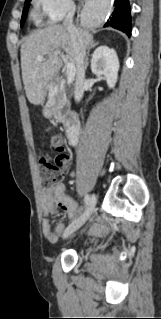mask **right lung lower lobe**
Returning <instances> with one entry per match:
<instances>
[{
    "label": "right lung lower lobe",
    "mask_w": 161,
    "mask_h": 319,
    "mask_svg": "<svg viewBox=\"0 0 161 319\" xmlns=\"http://www.w3.org/2000/svg\"><path fill=\"white\" fill-rule=\"evenodd\" d=\"M114 10L105 23V27L111 26L131 35V15L129 0H114Z\"/></svg>",
    "instance_id": "98d812e1"
}]
</instances>
